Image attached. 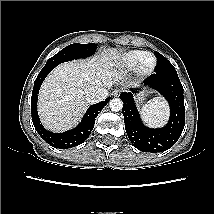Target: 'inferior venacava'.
<instances>
[{"mask_svg":"<svg viewBox=\"0 0 214 214\" xmlns=\"http://www.w3.org/2000/svg\"><path fill=\"white\" fill-rule=\"evenodd\" d=\"M108 91L105 88L92 87L86 92V99L89 103H96L107 98Z\"/></svg>","mask_w":214,"mask_h":214,"instance_id":"1","label":"inferior vena cava"}]
</instances>
